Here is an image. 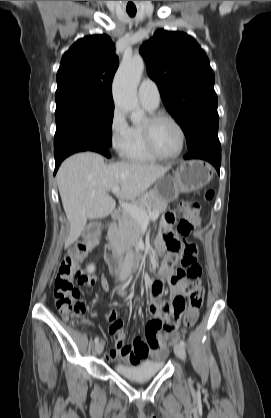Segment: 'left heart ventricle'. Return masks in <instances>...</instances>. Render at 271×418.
Here are the masks:
<instances>
[{
	"instance_id": "1",
	"label": "left heart ventricle",
	"mask_w": 271,
	"mask_h": 418,
	"mask_svg": "<svg viewBox=\"0 0 271 418\" xmlns=\"http://www.w3.org/2000/svg\"><path fill=\"white\" fill-rule=\"evenodd\" d=\"M153 137L157 149L162 154L173 155L179 150L180 134L171 122H158L154 127Z\"/></svg>"
}]
</instances>
